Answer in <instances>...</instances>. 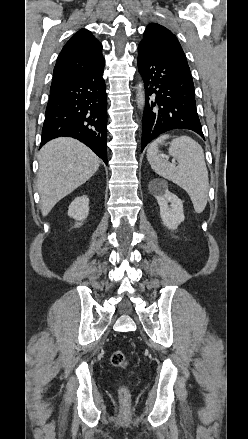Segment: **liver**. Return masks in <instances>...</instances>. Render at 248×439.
<instances>
[{"label":"liver","mask_w":248,"mask_h":439,"mask_svg":"<svg viewBox=\"0 0 248 439\" xmlns=\"http://www.w3.org/2000/svg\"><path fill=\"white\" fill-rule=\"evenodd\" d=\"M37 188L41 213L47 216L62 198L89 180L99 157L83 143L68 137L48 142L38 154Z\"/></svg>","instance_id":"obj_1"}]
</instances>
